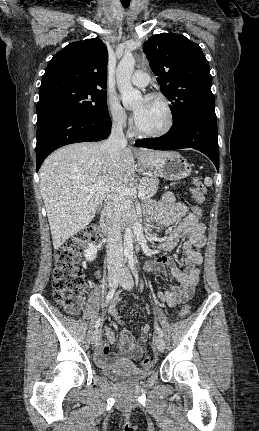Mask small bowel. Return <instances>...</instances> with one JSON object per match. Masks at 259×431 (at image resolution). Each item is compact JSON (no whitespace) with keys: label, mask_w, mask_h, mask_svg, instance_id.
Here are the masks:
<instances>
[{"label":"small bowel","mask_w":259,"mask_h":431,"mask_svg":"<svg viewBox=\"0 0 259 431\" xmlns=\"http://www.w3.org/2000/svg\"><path fill=\"white\" fill-rule=\"evenodd\" d=\"M192 208L176 202L171 193H165L155 206L148 208L149 218L160 225H172V230L167 240L159 244L151 254V260L147 264L149 271L165 272L169 268L171 276L178 282L166 291L157 294L158 300L166 302L170 307L187 302L194 293L199 281L200 267L202 265L201 249L206 242L205 226L199 220L193 218ZM185 238L182 244L183 266L178 267L172 259L162 255L164 251L176 247L180 237ZM116 297L114 302H118ZM111 314L118 320L121 318L115 306L110 309ZM150 326L145 324L136 339L130 332L123 330L119 339V352L112 354L110 345L116 341V336L111 327L105 329L107 341L99 343L96 351L97 362L102 366H112L117 363L129 364L141 358L147 341Z\"/></svg>","instance_id":"small-bowel-1"}]
</instances>
